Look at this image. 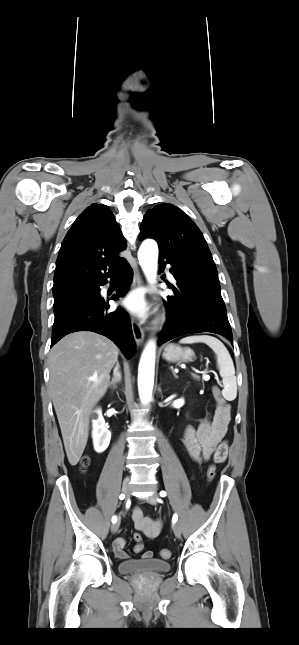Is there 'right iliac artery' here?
<instances>
[{"mask_svg": "<svg viewBox=\"0 0 299 645\" xmlns=\"http://www.w3.org/2000/svg\"><path fill=\"white\" fill-rule=\"evenodd\" d=\"M119 498H120L121 500H123V499L125 498V495H124V494H121V495L119 496ZM116 521H117V517H116V516H113V517H112V523H115Z\"/></svg>", "mask_w": 299, "mask_h": 645, "instance_id": "1", "label": "right iliac artery"}]
</instances>
